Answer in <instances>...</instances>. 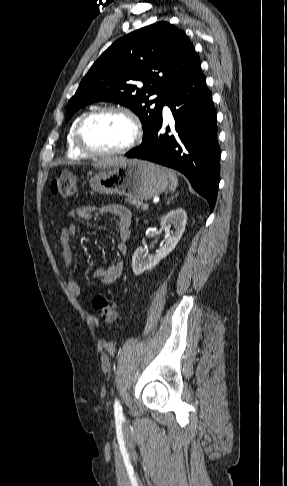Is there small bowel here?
Returning a JSON list of instances; mask_svg holds the SVG:
<instances>
[{
    "label": "small bowel",
    "instance_id": "obj_1",
    "mask_svg": "<svg viewBox=\"0 0 287 486\" xmlns=\"http://www.w3.org/2000/svg\"><path fill=\"white\" fill-rule=\"evenodd\" d=\"M112 216L118 222V241L116 249L118 254L127 253V242L131 235L132 214L129 209L122 205L112 204L95 209L89 206H81L71 210L67 214L66 224L60 230V243L62 247V260L64 262L65 272L69 276L71 273V264L73 261V252L71 249V239L77 232L75 218L89 220L94 217ZM122 262H114L106 268H98L94 272V277L104 286L112 285L122 274ZM67 288L75 298L82 297V290L77 281L70 276L67 280Z\"/></svg>",
    "mask_w": 287,
    "mask_h": 486
}]
</instances>
